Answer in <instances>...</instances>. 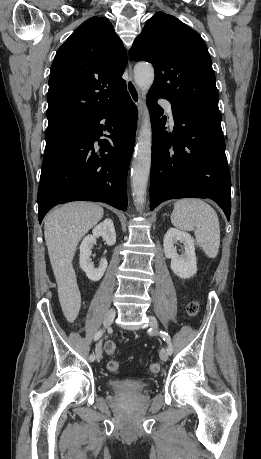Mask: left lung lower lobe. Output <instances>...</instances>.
<instances>
[{"mask_svg":"<svg viewBox=\"0 0 261 459\" xmlns=\"http://www.w3.org/2000/svg\"><path fill=\"white\" fill-rule=\"evenodd\" d=\"M152 122L150 210L161 202L186 197L211 198L231 211V179L225 155L221 115L192 112L171 104L175 127L165 131L166 117L149 93Z\"/></svg>","mask_w":261,"mask_h":459,"instance_id":"1","label":"left lung lower lobe"}]
</instances>
